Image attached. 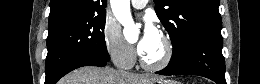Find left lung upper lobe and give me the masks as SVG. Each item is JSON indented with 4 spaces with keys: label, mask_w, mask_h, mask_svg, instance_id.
<instances>
[{
    "label": "left lung upper lobe",
    "mask_w": 260,
    "mask_h": 84,
    "mask_svg": "<svg viewBox=\"0 0 260 84\" xmlns=\"http://www.w3.org/2000/svg\"><path fill=\"white\" fill-rule=\"evenodd\" d=\"M156 14L169 33L173 54L178 59L186 45L206 33H221L219 0H154Z\"/></svg>",
    "instance_id": "1"
}]
</instances>
